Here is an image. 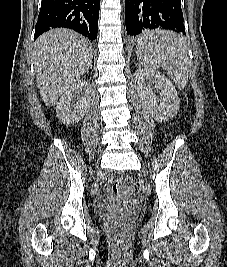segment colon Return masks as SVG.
<instances>
[{
  "label": "colon",
  "mask_w": 227,
  "mask_h": 267,
  "mask_svg": "<svg viewBox=\"0 0 227 267\" xmlns=\"http://www.w3.org/2000/svg\"><path fill=\"white\" fill-rule=\"evenodd\" d=\"M111 190L117 197L130 195L137 191V184L131 177L123 176L112 181ZM113 239L119 250L125 249L126 233L123 229L115 228L113 230Z\"/></svg>",
  "instance_id": "obj_1"
}]
</instances>
